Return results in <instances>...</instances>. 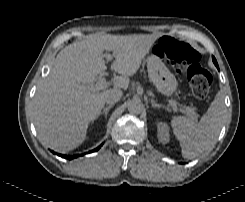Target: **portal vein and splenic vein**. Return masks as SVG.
I'll return each instance as SVG.
<instances>
[{"mask_svg": "<svg viewBox=\"0 0 245 202\" xmlns=\"http://www.w3.org/2000/svg\"><path fill=\"white\" fill-rule=\"evenodd\" d=\"M115 56V52L113 53V55H110V54H106L105 57L108 59V60H111L112 57ZM111 83L110 82H107L106 79L104 77H101L99 78V80L97 81V83L95 85H89L88 88L90 90H93V91H100V90H103V89H106ZM171 106L173 107L174 111H177L179 110L180 112L182 113H185L193 118H196V113L194 112V110L192 109H182V108H179L177 107V105L172 102L171 103Z\"/></svg>", "mask_w": 245, "mask_h": 202, "instance_id": "obj_1", "label": "portal vein and splenic vein"}]
</instances>
